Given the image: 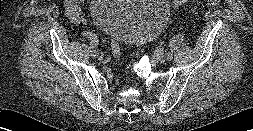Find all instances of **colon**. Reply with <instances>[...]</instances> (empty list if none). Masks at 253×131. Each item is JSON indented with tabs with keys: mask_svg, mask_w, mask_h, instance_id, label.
Here are the masks:
<instances>
[{
	"mask_svg": "<svg viewBox=\"0 0 253 131\" xmlns=\"http://www.w3.org/2000/svg\"><path fill=\"white\" fill-rule=\"evenodd\" d=\"M188 1L189 0H173L172 5L174 8L180 9L181 7L186 5L188 3ZM220 1L221 0H206L207 4L210 6L218 5L220 3ZM112 50H113L114 57L116 59L119 58L120 48H119V44L115 40H112Z\"/></svg>",
	"mask_w": 253,
	"mask_h": 131,
	"instance_id": "obj_1",
	"label": "colon"
}]
</instances>
